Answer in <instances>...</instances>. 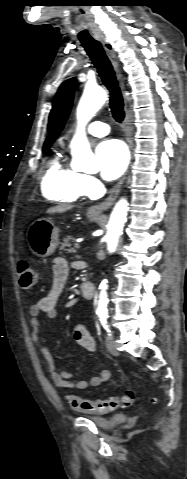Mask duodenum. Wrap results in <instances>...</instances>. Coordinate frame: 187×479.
I'll return each mask as SVG.
<instances>
[{
  "mask_svg": "<svg viewBox=\"0 0 187 479\" xmlns=\"http://www.w3.org/2000/svg\"><path fill=\"white\" fill-rule=\"evenodd\" d=\"M80 291H81V294L82 296L87 299V300H90L94 297V294H95V286L93 283H91L90 281L88 280H85L81 283L80 285Z\"/></svg>",
  "mask_w": 187,
  "mask_h": 479,
  "instance_id": "1",
  "label": "duodenum"
}]
</instances>
